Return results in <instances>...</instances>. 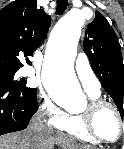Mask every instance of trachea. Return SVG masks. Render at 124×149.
I'll return each instance as SVG.
<instances>
[{"mask_svg": "<svg viewBox=\"0 0 124 149\" xmlns=\"http://www.w3.org/2000/svg\"><path fill=\"white\" fill-rule=\"evenodd\" d=\"M68 1L67 0H57L56 14L62 15L67 9Z\"/></svg>", "mask_w": 124, "mask_h": 149, "instance_id": "3493384b", "label": "trachea"}]
</instances>
